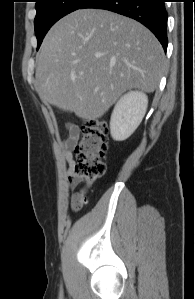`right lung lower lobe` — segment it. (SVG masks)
<instances>
[{"instance_id":"obj_1","label":"right lung lower lobe","mask_w":195,"mask_h":299,"mask_svg":"<svg viewBox=\"0 0 195 299\" xmlns=\"http://www.w3.org/2000/svg\"><path fill=\"white\" fill-rule=\"evenodd\" d=\"M165 0H88L80 9H105L130 17L146 26L166 51L167 11Z\"/></svg>"}]
</instances>
